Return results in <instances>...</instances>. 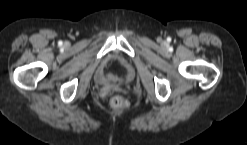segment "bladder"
I'll use <instances>...</instances> for the list:
<instances>
[{
    "instance_id": "31cf9c89",
    "label": "bladder",
    "mask_w": 247,
    "mask_h": 145,
    "mask_svg": "<svg viewBox=\"0 0 247 145\" xmlns=\"http://www.w3.org/2000/svg\"><path fill=\"white\" fill-rule=\"evenodd\" d=\"M97 82H98V84H104L106 82V80L101 75H99L97 78Z\"/></svg>"
}]
</instances>
